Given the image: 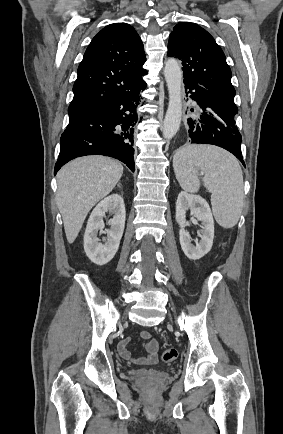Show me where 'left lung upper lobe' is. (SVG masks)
Wrapping results in <instances>:
<instances>
[{
    "mask_svg": "<svg viewBox=\"0 0 283 434\" xmlns=\"http://www.w3.org/2000/svg\"><path fill=\"white\" fill-rule=\"evenodd\" d=\"M168 56L181 60L184 80L234 101L235 89L225 54L202 27L189 22L177 24L169 36Z\"/></svg>",
    "mask_w": 283,
    "mask_h": 434,
    "instance_id": "1",
    "label": "left lung upper lobe"
}]
</instances>
